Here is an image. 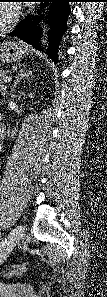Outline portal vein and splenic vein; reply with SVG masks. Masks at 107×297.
Here are the masks:
<instances>
[{
	"mask_svg": "<svg viewBox=\"0 0 107 297\" xmlns=\"http://www.w3.org/2000/svg\"><path fill=\"white\" fill-rule=\"evenodd\" d=\"M7 82H10L12 81V77L11 76H7V79H6Z\"/></svg>",
	"mask_w": 107,
	"mask_h": 297,
	"instance_id": "portal-vein-and-splenic-vein-1",
	"label": "portal vein and splenic vein"
}]
</instances>
